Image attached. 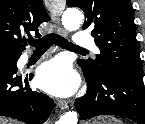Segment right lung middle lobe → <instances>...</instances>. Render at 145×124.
Masks as SVG:
<instances>
[{
  "instance_id": "dd1d6c3e",
  "label": "right lung middle lobe",
  "mask_w": 145,
  "mask_h": 124,
  "mask_svg": "<svg viewBox=\"0 0 145 124\" xmlns=\"http://www.w3.org/2000/svg\"><path fill=\"white\" fill-rule=\"evenodd\" d=\"M17 55H12V54H7V53H4V52H0V58H12V57H15Z\"/></svg>"
}]
</instances>
